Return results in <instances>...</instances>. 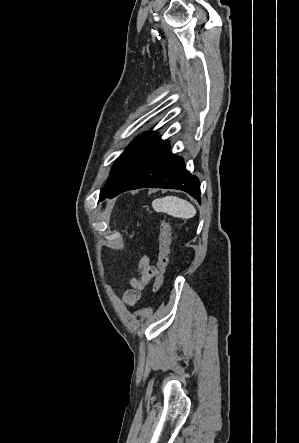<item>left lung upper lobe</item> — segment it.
Instances as JSON below:
<instances>
[{
    "label": "left lung upper lobe",
    "mask_w": 299,
    "mask_h": 443,
    "mask_svg": "<svg viewBox=\"0 0 299 443\" xmlns=\"http://www.w3.org/2000/svg\"><path fill=\"white\" fill-rule=\"evenodd\" d=\"M159 144H161V140L153 137L152 133H146L138 137L116 160L100 196L104 191L113 188L138 161Z\"/></svg>",
    "instance_id": "left-lung-upper-lobe-1"
}]
</instances>
